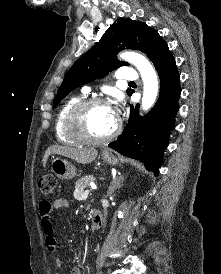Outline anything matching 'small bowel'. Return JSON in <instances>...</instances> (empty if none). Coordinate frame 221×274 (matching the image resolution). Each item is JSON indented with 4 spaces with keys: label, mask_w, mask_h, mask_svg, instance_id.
Masks as SVG:
<instances>
[{
    "label": "small bowel",
    "mask_w": 221,
    "mask_h": 274,
    "mask_svg": "<svg viewBox=\"0 0 221 274\" xmlns=\"http://www.w3.org/2000/svg\"><path fill=\"white\" fill-rule=\"evenodd\" d=\"M69 202L66 198L60 197L53 202L44 200L39 206L40 225L45 238V245L49 252H57V239L54 234V209H67ZM62 261L59 257L55 258L57 270L61 268ZM57 274H60L57 272ZM70 274H83L81 268L73 267Z\"/></svg>",
    "instance_id": "small-bowel-1"
}]
</instances>
